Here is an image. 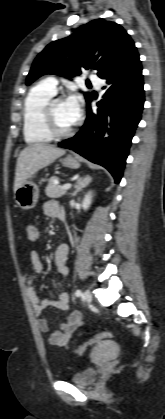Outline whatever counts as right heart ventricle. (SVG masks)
Instances as JSON below:
<instances>
[{
  "label": "right heart ventricle",
  "mask_w": 165,
  "mask_h": 419,
  "mask_svg": "<svg viewBox=\"0 0 165 419\" xmlns=\"http://www.w3.org/2000/svg\"><path fill=\"white\" fill-rule=\"evenodd\" d=\"M54 94L43 82L38 83L28 92L23 106V134L26 142L41 144L53 139L45 127L43 109Z\"/></svg>",
  "instance_id": "right-heart-ventricle-1"
}]
</instances>
